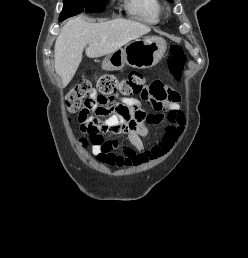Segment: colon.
I'll return each instance as SVG.
<instances>
[{"label":"colon","instance_id":"obj_1","mask_svg":"<svg viewBox=\"0 0 248 258\" xmlns=\"http://www.w3.org/2000/svg\"><path fill=\"white\" fill-rule=\"evenodd\" d=\"M167 63L171 76L176 80L181 79L186 65V56L181 46L173 45L171 47ZM155 93L154 84L150 88H146L144 77L136 72L121 80L114 75H103L98 79L96 88L92 87L89 80L81 79L66 96V110L75 113L83 108L82 111L88 115L89 111L95 109L96 106L104 105L116 94L140 95L145 99L147 96H154ZM116 111L123 115L128 113V109L122 106L117 107ZM84 132L88 133L92 144L102 141L101 130L97 127L89 126ZM80 141L83 146L88 143L85 138H81Z\"/></svg>","mask_w":248,"mask_h":258}]
</instances>
